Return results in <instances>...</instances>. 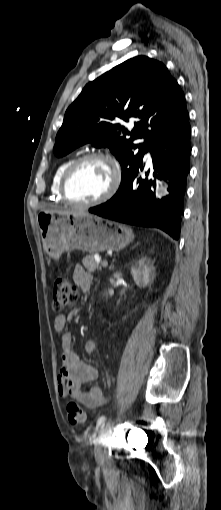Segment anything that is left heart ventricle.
<instances>
[{
  "label": "left heart ventricle",
  "mask_w": 221,
  "mask_h": 510,
  "mask_svg": "<svg viewBox=\"0 0 221 510\" xmlns=\"http://www.w3.org/2000/svg\"><path fill=\"white\" fill-rule=\"evenodd\" d=\"M112 183V170L101 160L79 165L68 182L69 196L78 202H89L102 196Z\"/></svg>",
  "instance_id": "left-heart-ventricle-1"
}]
</instances>
